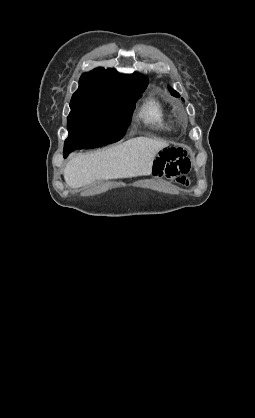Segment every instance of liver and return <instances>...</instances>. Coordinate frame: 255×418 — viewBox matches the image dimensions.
I'll use <instances>...</instances> for the list:
<instances>
[{
  "instance_id": "1",
  "label": "liver",
  "mask_w": 255,
  "mask_h": 418,
  "mask_svg": "<svg viewBox=\"0 0 255 418\" xmlns=\"http://www.w3.org/2000/svg\"><path fill=\"white\" fill-rule=\"evenodd\" d=\"M167 146L162 140L137 137L104 151L80 154L66 164L64 179L76 189L95 180L147 176L155 156Z\"/></svg>"
}]
</instances>
